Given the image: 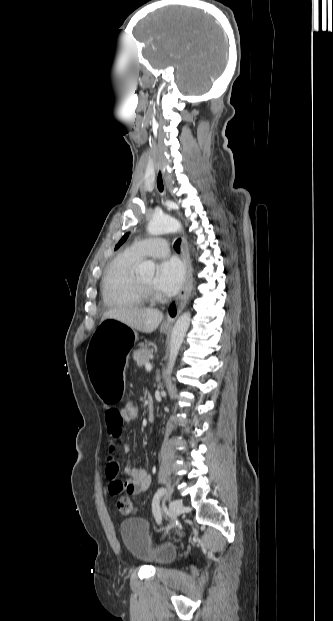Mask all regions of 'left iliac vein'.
I'll return each mask as SVG.
<instances>
[{"label": "left iliac vein", "instance_id": "obj_1", "mask_svg": "<svg viewBox=\"0 0 333 621\" xmlns=\"http://www.w3.org/2000/svg\"><path fill=\"white\" fill-rule=\"evenodd\" d=\"M183 512V503L180 500H173L170 502L169 513L171 517V523L168 525L167 530L172 527L174 519H176Z\"/></svg>", "mask_w": 333, "mask_h": 621}]
</instances>
